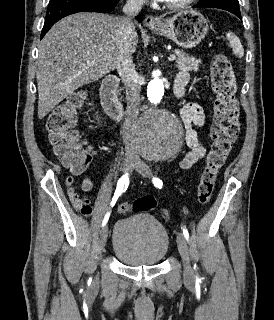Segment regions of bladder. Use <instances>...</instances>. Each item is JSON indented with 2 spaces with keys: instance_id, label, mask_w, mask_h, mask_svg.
Here are the masks:
<instances>
[{
  "instance_id": "1",
  "label": "bladder",
  "mask_w": 274,
  "mask_h": 320,
  "mask_svg": "<svg viewBox=\"0 0 274 320\" xmlns=\"http://www.w3.org/2000/svg\"><path fill=\"white\" fill-rule=\"evenodd\" d=\"M166 228L153 216L136 212L116 221L113 254L129 266H153L162 262L169 250Z\"/></svg>"
}]
</instances>
